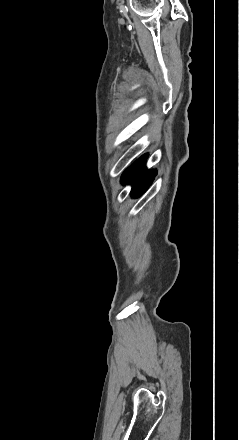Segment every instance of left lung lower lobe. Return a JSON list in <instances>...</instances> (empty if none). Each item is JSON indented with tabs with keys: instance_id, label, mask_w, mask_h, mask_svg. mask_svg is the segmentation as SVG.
Segmentation results:
<instances>
[{
	"instance_id": "0a47b994",
	"label": "left lung lower lobe",
	"mask_w": 239,
	"mask_h": 440,
	"mask_svg": "<svg viewBox=\"0 0 239 440\" xmlns=\"http://www.w3.org/2000/svg\"><path fill=\"white\" fill-rule=\"evenodd\" d=\"M148 154L142 155L130 167H128L121 176V183H132V197L142 195L154 180L157 172L155 170H147L144 166Z\"/></svg>"
}]
</instances>
